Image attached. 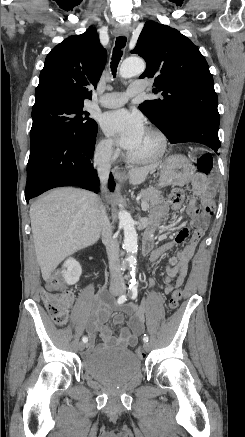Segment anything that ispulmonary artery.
Returning <instances> with one entry per match:
<instances>
[{
	"label": "pulmonary artery",
	"instance_id": "1",
	"mask_svg": "<svg viewBox=\"0 0 245 437\" xmlns=\"http://www.w3.org/2000/svg\"><path fill=\"white\" fill-rule=\"evenodd\" d=\"M146 89L143 81L133 82L126 92L106 93L99 98L97 103L105 108H117L126 103L129 97L142 93Z\"/></svg>",
	"mask_w": 245,
	"mask_h": 437
}]
</instances>
